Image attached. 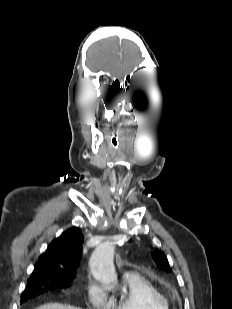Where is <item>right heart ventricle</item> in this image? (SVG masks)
Returning <instances> with one entry per match:
<instances>
[{
	"mask_svg": "<svg viewBox=\"0 0 232 309\" xmlns=\"http://www.w3.org/2000/svg\"><path fill=\"white\" fill-rule=\"evenodd\" d=\"M106 309H169V303L150 280L131 272L124 274L121 291L108 299Z\"/></svg>",
	"mask_w": 232,
	"mask_h": 309,
	"instance_id": "1",
	"label": "right heart ventricle"
}]
</instances>
